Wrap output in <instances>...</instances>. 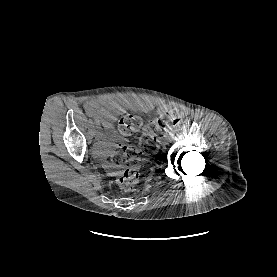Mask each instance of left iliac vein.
Here are the masks:
<instances>
[{"label":"left iliac vein","mask_w":277,"mask_h":277,"mask_svg":"<svg viewBox=\"0 0 277 277\" xmlns=\"http://www.w3.org/2000/svg\"><path fill=\"white\" fill-rule=\"evenodd\" d=\"M173 139H174V135H173V134H170V135L166 136L165 142H166V143H169V142H171Z\"/></svg>","instance_id":"4c4485c4"}]
</instances>
